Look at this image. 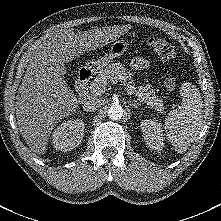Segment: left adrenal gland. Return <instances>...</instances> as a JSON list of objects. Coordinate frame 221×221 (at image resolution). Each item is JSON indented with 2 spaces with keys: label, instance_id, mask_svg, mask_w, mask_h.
<instances>
[{
  "label": "left adrenal gland",
  "instance_id": "obj_1",
  "mask_svg": "<svg viewBox=\"0 0 221 221\" xmlns=\"http://www.w3.org/2000/svg\"><path fill=\"white\" fill-rule=\"evenodd\" d=\"M129 105H130L131 108L137 109L139 106H141V103H139L137 101H134V102L129 101Z\"/></svg>",
  "mask_w": 221,
  "mask_h": 221
}]
</instances>
